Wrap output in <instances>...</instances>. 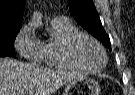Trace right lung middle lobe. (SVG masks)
I'll list each match as a JSON object with an SVG mask.
<instances>
[{
  "label": "right lung middle lobe",
  "instance_id": "obj_1",
  "mask_svg": "<svg viewBox=\"0 0 135 95\" xmlns=\"http://www.w3.org/2000/svg\"><path fill=\"white\" fill-rule=\"evenodd\" d=\"M19 31L0 34V57L15 56L14 41Z\"/></svg>",
  "mask_w": 135,
  "mask_h": 95
}]
</instances>
